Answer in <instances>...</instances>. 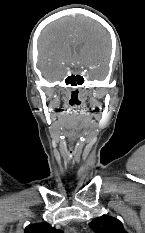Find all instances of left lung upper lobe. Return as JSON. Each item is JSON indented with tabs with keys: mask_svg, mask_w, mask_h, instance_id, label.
<instances>
[{
	"mask_svg": "<svg viewBox=\"0 0 145 233\" xmlns=\"http://www.w3.org/2000/svg\"><path fill=\"white\" fill-rule=\"evenodd\" d=\"M89 225L95 233H127L118 219L106 215L93 219Z\"/></svg>",
	"mask_w": 145,
	"mask_h": 233,
	"instance_id": "1",
	"label": "left lung upper lobe"
}]
</instances>
